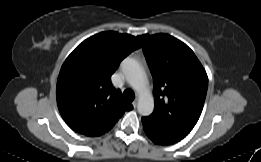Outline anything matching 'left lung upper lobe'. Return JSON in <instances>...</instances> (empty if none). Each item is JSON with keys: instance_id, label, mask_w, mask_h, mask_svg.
I'll use <instances>...</instances> for the list:
<instances>
[{"instance_id": "5c2ea615", "label": "left lung upper lobe", "mask_w": 261, "mask_h": 162, "mask_svg": "<svg viewBox=\"0 0 261 162\" xmlns=\"http://www.w3.org/2000/svg\"><path fill=\"white\" fill-rule=\"evenodd\" d=\"M154 80V111L143 117L174 136L186 137L205 102L207 74L194 52L168 34L138 36Z\"/></svg>"}]
</instances>
